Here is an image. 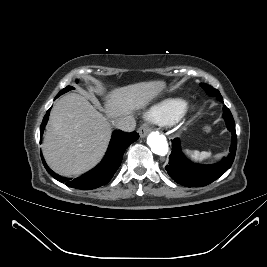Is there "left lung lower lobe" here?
Masks as SVG:
<instances>
[{
    "label": "left lung lower lobe",
    "instance_id": "left-lung-lower-lobe-1",
    "mask_svg": "<svg viewBox=\"0 0 267 267\" xmlns=\"http://www.w3.org/2000/svg\"><path fill=\"white\" fill-rule=\"evenodd\" d=\"M211 87L206 85L204 90L211 94ZM223 118L227 128L232 132L230 153L222 161L213 165H201L190 162L181 152L178 138L172 141V152L165 169L169 176L178 184L187 187H202L208 185L223 175L232 165L237 147L235 122L230 110L224 106Z\"/></svg>",
    "mask_w": 267,
    "mask_h": 267
}]
</instances>
